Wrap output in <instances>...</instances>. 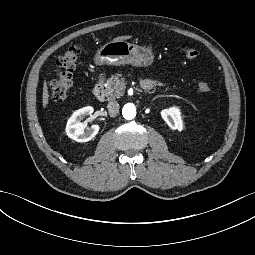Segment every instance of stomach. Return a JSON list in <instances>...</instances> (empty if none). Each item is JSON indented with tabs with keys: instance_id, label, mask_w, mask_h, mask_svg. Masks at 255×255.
Listing matches in <instances>:
<instances>
[{
	"instance_id": "1",
	"label": "stomach",
	"mask_w": 255,
	"mask_h": 255,
	"mask_svg": "<svg viewBox=\"0 0 255 255\" xmlns=\"http://www.w3.org/2000/svg\"><path fill=\"white\" fill-rule=\"evenodd\" d=\"M152 52L144 47L125 40L111 41L102 46L95 55L97 65L149 66L153 62Z\"/></svg>"
}]
</instances>
